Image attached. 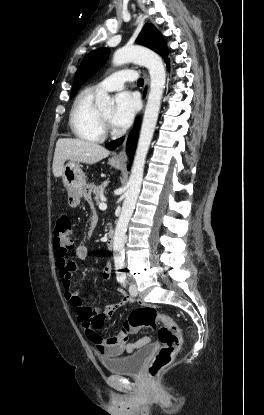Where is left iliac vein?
<instances>
[{
  "mask_svg": "<svg viewBox=\"0 0 264 415\" xmlns=\"http://www.w3.org/2000/svg\"><path fill=\"white\" fill-rule=\"evenodd\" d=\"M129 293H130V295L132 296V297H136L137 296V294H138V290H137V287H136V285L135 284H130V286H129Z\"/></svg>",
  "mask_w": 264,
  "mask_h": 415,
  "instance_id": "4c4485c4",
  "label": "left iliac vein"
}]
</instances>
